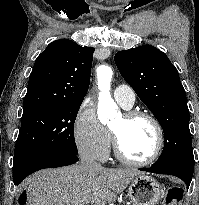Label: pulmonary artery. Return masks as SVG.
<instances>
[{
  "label": "pulmonary artery",
  "instance_id": "pulmonary-artery-1",
  "mask_svg": "<svg viewBox=\"0 0 199 205\" xmlns=\"http://www.w3.org/2000/svg\"><path fill=\"white\" fill-rule=\"evenodd\" d=\"M114 97L118 103L126 108H130L135 102L134 90L125 84L116 87Z\"/></svg>",
  "mask_w": 199,
  "mask_h": 205
}]
</instances>
